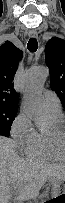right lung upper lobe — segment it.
<instances>
[{
    "label": "right lung upper lobe",
    "mask_w": 65,
    "mask_h": 203,
    "mask_svg": "<svg viewBox=\"0 0 65 203\" xmlns=\"http://www.w3.org/2000/svg\"><path fill=\"white\" fill-rule=\"evenodd\" d=\"M22 51L7 41L0 47V104L17 107L18 95L13 89V75Z\"/></svg>",
    "instance_id": "cb5924a9"
}]
</instances>
